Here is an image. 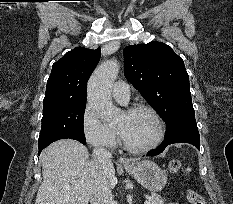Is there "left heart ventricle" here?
I'll use <instances>...</instances> for the list:
<instances>
[{
	"mask_svg": "<svg viewBox=\"0 0 233 204\" xmlns=\"http://www.w3.org/2000/svg\"><path fill=\"white\" fill-rule=\"evenodd\" d=\"M115 127L134 146L148 145L157 136V124L154 118L151 114L144 111L133 114L123 112L118 118Z\"/></svg>",
	"mask_w": 233,
	"mask_h": 204,
	"instance_id": "b2bd125f",
	"label": "left heart ventricle"
}]
</instances>
